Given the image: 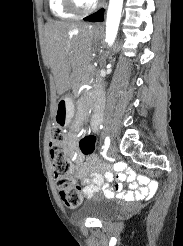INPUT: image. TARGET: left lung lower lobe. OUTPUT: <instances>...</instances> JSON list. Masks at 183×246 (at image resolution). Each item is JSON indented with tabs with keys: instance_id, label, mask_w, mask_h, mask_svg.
<instances>
[{
	"instance_id": "obj_1",
	"label": "left lung lower lobe",
	"mask_w": 183,
	"mask_h": 246,
	"mask_svg": "<svg viewBox=\"0 0 183 246\" xmlns=\"http://www.w3.org/2000/svg\"><path fill=\"white\" fill-rule=\"evenodd\" d=\"M85 21H90V22H100L103 20V10H99L96 13L87 16L86 18H84Z\"/></svg>"
}]
</instances>
